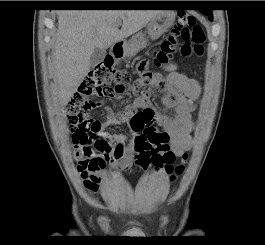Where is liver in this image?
Listing matches in <instances>:
<instances>
[{
    "mask_svg": "<svg viewBox=\"0 0 265 245\" xmlns=\"http://www.w3.org/2000/svg\"><path fill=\"white\" fill-rule=\"evenodd\" d=\"M160 10H64L58 13L53 53L54 77L61 105H66L90 69L95 48L107 49L129 37ZM122 21L121 30L117 22Z\"/></svg>",
    "mask_w": 265,
    "mask_h": 245,
    "instance_id": "liver-1",
    "label": "liver"
}]
</instances>
